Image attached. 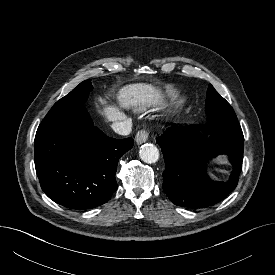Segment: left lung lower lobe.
Here are the masks:
<instances>
[{"mask_svg":"<svg viewBox=\"0 0 275 275\" xmlns=\"http://www.w3.org/2000/svg\"><path fill=\"white\" fill-rule=\"evenodd\" d=\"M201 131L209 137H203ZM156 142L165 160L162 187L175 205L196 209L212 206L236 188L243 161L241 127L172 126ZM220 154H227L234 167L226 182L211 181L204 169L207 159Z\"/></svg>","mask_w":275,"mask_h":275,"instance_id":"1","label":"left lung lower lobe"}]
</instances>
